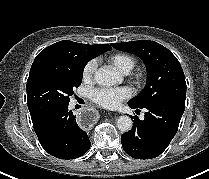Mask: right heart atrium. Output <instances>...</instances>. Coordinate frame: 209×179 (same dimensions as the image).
Here are the masks:
<instances>
[{"label":"right heart atrium","mask_w":209,"mask_h":179,"mask_svg":"<svg viewBox=\"0 0 209 179\" xmlns=\"http://www.w3.org/2000/svg\"><path fill=\"white\" fill-rule=\"evenodd\" d=\"M96 67L97 62L95 60H90L84 65L82 70L83 81L90 82L93 79Z\"/></svg>","instance_id":"obj_1"}]
</instances>
